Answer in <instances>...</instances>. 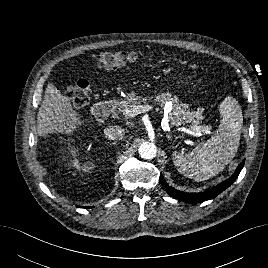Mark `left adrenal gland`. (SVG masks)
<instances>
[{
  "label": "left adrenal gland",
  "mask_w": 268,
  "mask_h": 268,
  "mask_svg": "<svg viewBox=\"0 0 268 268\" xmlns=\"http://www.w3.org/2000/svg\"><path fill=\"white\" fill-rule=\"evenodd\" d=\"M166 136H167L168 140L174 141V140L172 139L171 135L167 134Z\"/></svg>",
  "instance_id": "a2214340"
}]
</instances>
